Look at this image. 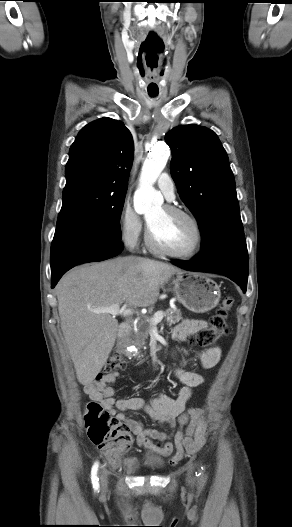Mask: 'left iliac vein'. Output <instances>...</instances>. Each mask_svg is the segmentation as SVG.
<instances>
[{
	"label": "left iliac vein",
	"instance_id": "obj_1",
	"mask_svg": "<svg viewBox=\"0 0 292 527\" xmlns=\"http://www.w3.org/2000/svg\"><path fill=\"white\" fill-rule=\"evenodd\" d=\"M190 477H191V476H190ZM190 477H189V479H188V482H189V483H191V479H190Z\"/></svg>",
	"mask_w": 292,
	"mask_h": 527
}]
</instances>
